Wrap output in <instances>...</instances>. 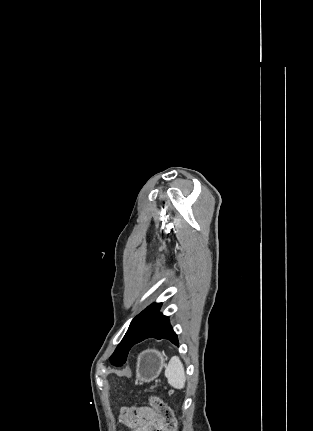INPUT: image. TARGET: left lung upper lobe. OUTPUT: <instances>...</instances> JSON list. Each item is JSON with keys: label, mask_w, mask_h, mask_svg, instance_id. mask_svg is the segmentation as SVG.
<instances>
[{"label": "left lung upper lobe", "mask_w": 313, "mask_h": 431, "mask_svg": "<svg viewBox=\"0 0 313 431\" xmlns=\"http://www.w3.org/2000/svg\"><path fill=\"white\" fill-rule=\"evenodd\" d=\"M161 306L162 303H153L132 320L124 338L110 357L111 363L116 366H120L125 363L128 353L133 346V341L145 324L159 312Z\"/></svg>", "instance_id": "1"}]
</instances>
